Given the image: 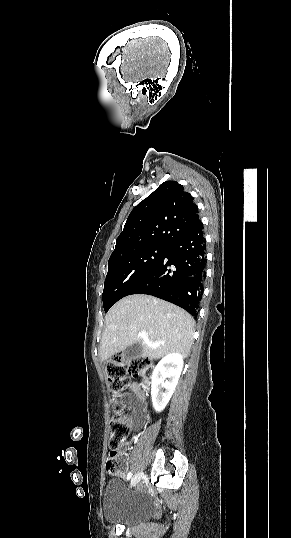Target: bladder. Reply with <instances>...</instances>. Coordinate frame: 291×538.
Wrapping results in <instances>:
<instances>
[{"label": "bladder", "mask_w": 291, "mask_h": 538, "mask_svg": "<svg viewBox=\"0 0 291 538\" xmlns=\"http://www.w3.org/2000/svg\"><path fill=\"white\" fill-rule=\"evenodd\" d=\"M104 519L112 525H134L146 521L152 514L151 500L130 490L121 477L111 479L103 494Z\"/></svg>", "instance_id": "1"}]
</instances>
